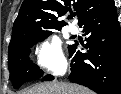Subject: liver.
Listing matches in <instances>:
<instances>
[{"label": "liver", "mask_w": 121, "mask_h": 94, "mask_svg": "<svg viewBox=\"0 0 121 94\" xmlns=\"http://www.w3.org/2000/svg\"><path fill=\"white\" fill-rule=\"evenodd\" d=\"M19 94H94L91 90L72 83L45 82L22 90Z\"/></svg>", "instance_id": "6515ba94"}]
</instances>
